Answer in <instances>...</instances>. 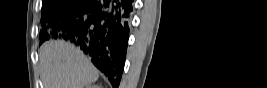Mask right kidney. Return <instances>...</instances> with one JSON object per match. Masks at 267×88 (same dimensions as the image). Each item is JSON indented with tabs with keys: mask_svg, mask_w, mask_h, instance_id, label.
Masks as SVG:
<instances>
[{
	"mask_svg": "<svg viewBox=\"0 0 267 88\" xmlns=\"http://www.w3.org/2000/svg\"><path fill=\"white\" fill-rule=\"evenodd\" d=\"M86 88H100V87L97 86V85H89V86H87Z\"/></svg>",
	"mask_w": 267,
	"mask_h": 88,
	"instance_id": "obj_1",
	"label": "right kidney"
}]
</instances>
